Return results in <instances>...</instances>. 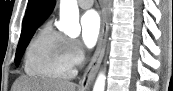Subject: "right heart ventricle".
I'll list each match as a JSON object with an SVG mask.
<instances>
[{
  "instance_id": "e07e8e85",
  "label": "right heart ventricle",
  "mask_w": 173,
  "mask_h": 91,
  "mask_svg": "<svg viewBox=\"0 0 173 91\" xmlns=\"http://www.w3.org/2000/svg\"><path fill=\"white\" fill-rule=\"evenodd\" d=\"M25 71L40 79H67L73 75L66 38L47 24L33 38L25 54Z\"/></svg>"
}]
</instances>
